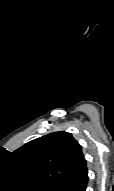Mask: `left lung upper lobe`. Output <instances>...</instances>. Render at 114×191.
<instances>
[{
	"label": "left lung upper lobe",
	"instance_id": "5c2ea615",
	"mask_svg": "<svg viewBox=\"0 0 114 191\" xmlns=\"http://www.w3.org/2000/svg\"><path fill=\"white\" fill-rule=\"evenodd\" d=\"M13 155L21 171L43 191H66L86 167L80 144L67 132L32 140Z\"/></svg>",
	"mask_w": 114,
	"mask_h": 191
}]
</instances>
